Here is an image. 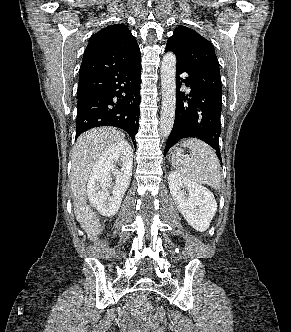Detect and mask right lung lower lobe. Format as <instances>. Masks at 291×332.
I'll return each mask as SVG.
<instances>
[{"instance_id": "98d812e1", "label": "right lung lower lobe", "mask_w": 291, "mask_h": 332, "mask_svg": "<svg viewBox=\"0 0 291 332\" xmlns=\"http://www.w3.org/2000/svg\"><path fill=\"white\" fill-rule=\"evenodd\" d=\"M140 83V59L124 67L79 76L76 138L91 128L115 126L131 136L136 148Z\"/></svg>"}]
</instances>
